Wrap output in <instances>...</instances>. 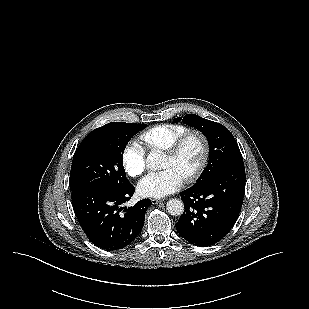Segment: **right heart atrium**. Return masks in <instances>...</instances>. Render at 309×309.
<instances>
[{
    "label": "right heart atrium",
    "instance_id": "obj_1",
    "mask_svg": "<svg viewBox=\"0 0 309 309\" xmlns=\"http://www.w3.org/2000/svg\"><path fill=\"white\" fill-rule=\"evenodd\" d=\"M122 163L128 175H142L146 169L145 149L137 141H130L122 152Z\"/></svg>",
    "mask_w": 309,
    "mask_h": 309
}]
</instances>
